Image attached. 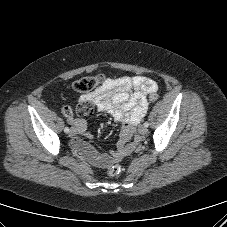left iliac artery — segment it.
<instances>
[{
    "label": "left iliac artery",
    "mask_w": 227,
    "mask_h": 227,
    "mask_svg": "<svg viewBox=\"0 0 227 227\" xmlns=\"http://www.w3.org/2000/svg\"><path fill=\"white\" fill-rule=\"evenodd\" d=\"M144 126H145V127H148V126H149V123H148V122H145V123H144Z\"/></svg>",
    "instance_id": "44dca946"
}]
</instances>
